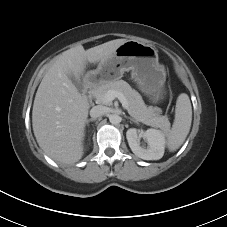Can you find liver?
<instances>
[{
    "instance_id": "6515ba94",
    "label": "liver",
    "mask_w": 227,
    "mask_h": 227,
    "mask_svg": "<svg viewBox=\"0 0 227 227\" xmlns=\"http://www.w3.org/2000/svg\"><path fill=\"white\" fill-rule=\"evenodd\" d=\"M127 40L116 39L84 50L79 45L57 56L44 75L32 110L37 143L46 155L63 164L78 162L83 154V137L89 103L69 78L80 80L88 63H100L112 56Z\"/></svg>"
}]
</instances>
